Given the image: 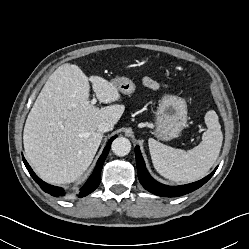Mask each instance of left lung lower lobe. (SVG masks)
Listing matches in <instances>:
<instances>
[{"label":"left lung lower lobe","instance_id":"obj_1","mask_svg":"<svg viewBox=\"0 0 249 249\" xmlns=\"http://www.w3.org/2000/svg\"><path fill=\"white\" fill-rule=\"evenodd\" d=\"M135 156H136V163H137L138 178L142 186L149 192L155 195L164 196V197H178V196L185 195L187 193H190L198 189L212 177V175L215 173L217 169L216 167L215 170L211 174H209L208 176H206L205 178L197 182L190 183L187 185L171 187V186L158 183L156 180H154L150 176V174L148 173L146 169L139 146L135 147Z\"/></svg>","mask_w":249,"mask_h":249}]
</instances>
